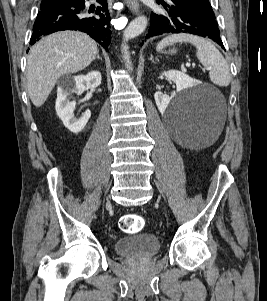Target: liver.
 Masks as SVG:
<instances>
[{
    "instance_id": "6515ba94",
    "label": "liver",
    "mask_w": 267,
    "mask_h": 301,
    "mask_svg": "<svg viewBox=\"0 0 267 301\" xmlns=\"http://www.w3.org/2000/svg\"><path fill=\"white\" fill-rule=\"evenodd\" d=\"M97 52V43L78 31L53 33L37 42L27 58V90L32 103L41 107L60 76L85 69Z\"/></svg>"
}]
</instances>
